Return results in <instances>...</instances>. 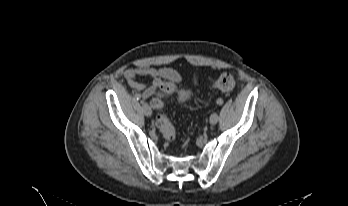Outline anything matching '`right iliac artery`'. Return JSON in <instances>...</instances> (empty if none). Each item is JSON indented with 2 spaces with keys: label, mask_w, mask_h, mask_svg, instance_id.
<instances>
[{
  "label": "right iliac artery",
  "mask_w": 348,
  "mask_h": 206,
  "mask_svg": "<svg viewBox=\"0 0 348 206\" xmlns=\"http://www.w3.org/2000/svg\"><path fill=\"white\" fill-rule=\"evenodd\" d=\"M136 99L139 100L141 98V95L140 94H136Z\"/></svg>",
  "instance_id": "obj_1"
}]
</instances>
